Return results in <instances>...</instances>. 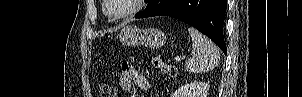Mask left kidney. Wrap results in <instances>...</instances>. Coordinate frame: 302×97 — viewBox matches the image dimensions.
I'll list each match as a JSON object with an SVG mask.
<instances>
[{"mask_svg": "<svg viewBox=\"0 0 302 97\" xmlns=\"http://www.w3.org/2000/svg\"><path fill=\"white\" fill-rule=\"evenodd\" d=\"M209 85L205 82H191L177 89L172 97H207Z\"/></svg>", "mask_w": 302, "mask_h": 97, "instance_id": "5707ae66", "label": "left kidney"}]
</instances>
